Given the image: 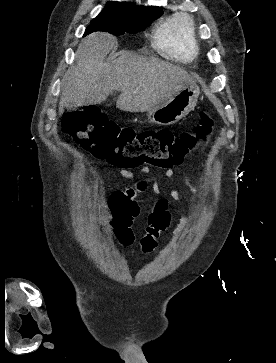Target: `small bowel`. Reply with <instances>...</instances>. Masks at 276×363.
Masks as SVG:
<instances>
[{"instance_id": "obj_1", "label": "small bowel", "mask_w": 276, "mask_h": 363, "mask_svg": "<svg viewBox=\"0 0 276 363\" xmlns=\"http://www.w3.org/2000/svg\"><path fill=\"white\" fill-rule=\"evenodd\" d=\"M141 172L144 174H148L150 169L146 166L141 168ZM119 173L122 177L126 179H131L133 177V173L127 169H120ZM174 172L172 169H167L165 172V176L167 178H171ZM183 181L185 185L188 187L190 192L197 197L199 200H203V193L199 188H197L192 181L186 176L183 175ZM148 188V183L146 180H139L136 182L134 186L128 187L123 190H119L114 192L111 195L109 206L111 209H119L127 218V227H129L132 222L140 215L141 208L138 204L137 197L146 191ZM170 195L174 201H176L180 206L182 204V199L179 193L175 189L170 190ZM168 200L166 198H157L153 205L152 213L150 214V221L146 228L145 234H152L155 240L167 229L169 224V214L167 211ZM155 217L161 222H165L166 226L162 229L153 228L151 225V218ZM187 223V216L183 209H180L179 219L175 223V225L169 230V234L172 236L180 235Z\"/></svg>"}]
</instances>
